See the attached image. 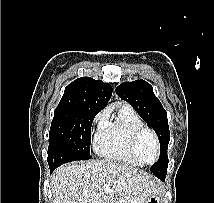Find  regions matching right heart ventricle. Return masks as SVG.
<instances>
[{"label": "right heart ventricle", "mask_w": 214, "mask_h": 203, "mask_svg": "<svg viewBox=\"0 0 214 203\" xmlns=\"http://www.w3.org/2000/svg\"><path fill=\"white\" fill-rule=\"evenodd\" d=\"M143 126L141 118L129 105H119L112 117L109 115L104 117L95 135L96 153L112 161L142 166L131 153L130 139L133 132Z\"/></svg>", "instance_id": "e07e8e85"}]
</instances>
